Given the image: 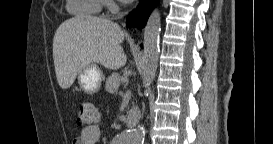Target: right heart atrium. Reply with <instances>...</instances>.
<instances>
[{
  "instance_id": "d8ad5b80",
  "label": "right heart atrium",
  "mask_w": 273,
  "mask_h": 144,
  "mask_svg": "<svg viewBox=\"0 0 273 144\" xmlns=\"http://www.w3.org/2000/svg\"><path fill=\"white\" fill-rule=\"evenodd\" d=\"M105 6L107 7V9L112 12V13H116L117 11V6L116 4L112 1V0H106L104 1Z\"/></svg>"
}]
</instances>
